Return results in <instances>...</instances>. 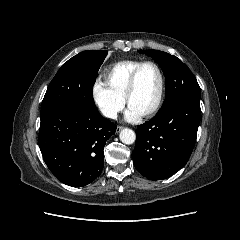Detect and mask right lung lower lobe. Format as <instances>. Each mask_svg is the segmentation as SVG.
Segmentation results:
<instances>
[{
  "instance_id": "98d812e1",
  "label": "right lung lower lobe",
  "mask_w": 240,
  "mask_h": 240,
  "mask_svg": "<svg viewBox=\"0 0 240 240\" xmlns=\"http://www.w3.org/2000/svg\"><path fill=\"white\" fill-rule=\"evenodd\" d=\"M39 147L43 159L61 182L82 187L102 172L104 146L117 126L98 110L57 106L40 114Z\"/></svg>"
}]
</instances>
